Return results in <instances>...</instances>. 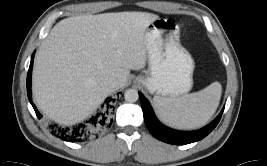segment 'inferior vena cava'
<instances>
[{"label": "inferior vena cava", "instance_id": "1", "mask_svg": "<svg viewBox=\"0 0 267 166\" xmlns=\"http://www.w3.org/2000/svg\"><path fill=\"white\" fill-rule=\"evenodd\" d=\"M105 87L108 92H113L118 89L119 85L117 81H111L106 83Z\"/></svg>", "mask_w": 267, "mask_h": 166}]
</instances>
